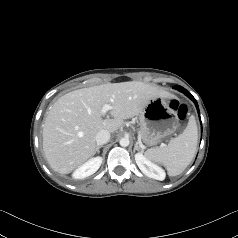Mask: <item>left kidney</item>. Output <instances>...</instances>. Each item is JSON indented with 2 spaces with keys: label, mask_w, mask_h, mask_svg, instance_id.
<instances>
[{
  "label": "left kidney",
  "mask_w": 238,
  "mask_h": 238,
  "mask_svg": "<svg viewBox=\"0 0 238 238\" xmlns=\"http://www.w3.org/2000/svg\"><path fill=\"white\" fill-rule=\"evenodd\" d=\"M135 161L139 169L146 176L157 180H164V170L149 161L142 153L135 154Z\"/></svg>",
  "instance_id": "1"
}]
</instances>
